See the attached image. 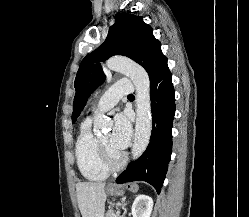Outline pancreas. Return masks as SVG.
I'll use <instances>...</instances> for the list:
<instances>
[{
	"label": "pancreas",
	"instance_id": "obj_1",
	"mask_svg": "<svg viewBox=\"0 0 249 217\" xmlns=\"http://www.w3.org/2000/svg\"><path fill=\"white\" fill-rule=\"evenodd\" d=\"M119 205V204H118ZM117 213H115L113 210H109L106 214V217H117Z\"/></svg>",
	"mask_w": 249,
	"mask_h": 217
}]
</instances>
